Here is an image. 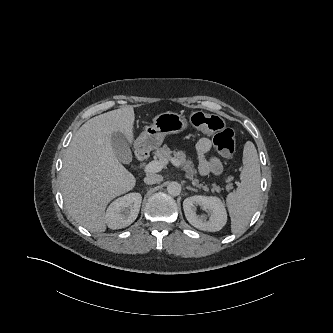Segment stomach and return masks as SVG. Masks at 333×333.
<instances>
[{
    "label": "stomach",
    "instance_id": "1",
    "mask_svg": "<svg viewBox=\"0 0 333 333\" xmlns=\"http://www.w3.org/2000/svg\"><path fill=\"white\" fill-rule=\"evenodd\" d=\"M188 122L183 115L174 112H164L153 119L136 140V148L141 151L157 149L164 141L165 136L184 131Z\"/></svg>",
    "mask_w": 333,
    "mask_h": 333
}]
</instances>
